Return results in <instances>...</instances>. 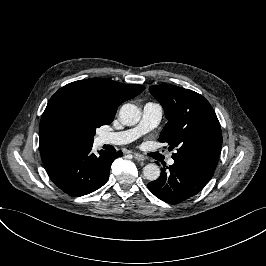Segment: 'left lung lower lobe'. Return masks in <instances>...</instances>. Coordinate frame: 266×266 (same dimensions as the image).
<instances>
[{
  "instance_id": "obj_1",
  "label": "left lung lower lobe",
  "mask_w": 266,
  "mask_h": 266,
  "mask_svg": "<svg viewBox=\"0 0 266 266\" xmlns=\"http://www.w3.org/2000/svg\"><path fill=\"white\" fill-rule=\"evenodd\" d=\"M214 170L197 161L174 159L170 172L161 169L160 177L148 183V188L159 199L177 204L199 193L212 178Z\"/></svg>"
}]
</instances>
